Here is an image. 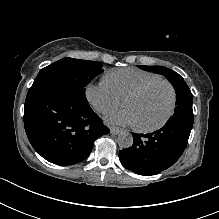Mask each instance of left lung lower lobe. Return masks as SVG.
<instances>
[{"label":"left lung lower lobe","mask_w":219,"mask_h":219,"mask_svg":"<svg viewBox=\"0 0 219 219\" xmlns=\"http://www.w3.org/2000/svg\"><path fill=\"white\" fill-rule=\"evenodd\" d=\"M193 118H170L159 130L133 135V145L119 152L125 168L143 176L155 175L172 166L184 152Z\"/></svg>","instance_id":"0a47b994"}]
</instances>
